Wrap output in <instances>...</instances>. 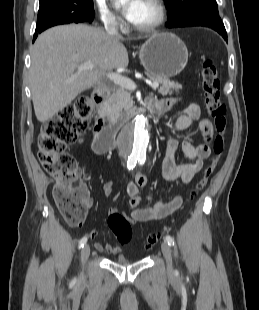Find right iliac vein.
Instances as JSON below:
<instances>
[{"label": "right iliac vein", "mask_w": 259, "mask_h": 310, "mask_svg": "<svg viewBox=\"0 0 259 310\" xmlns=\"http://www.w3.org/2000/svg\"><path fill=\"white\" fill-rule=\"evenodd\" d=\"M89 254H90V247L89 245H85L81 250V261L83 264L87 261Z\"/></svg>", "instance_id": "1"}]
</instances>
